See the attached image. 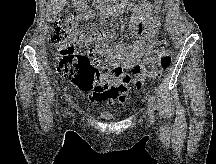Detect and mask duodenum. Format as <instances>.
<instances>
[{"mask_svg":"<svg viewBox=\"0 0 216 164\" xmlns=\"http://www.w3.org/2000/svg\"><path fill=\"white\" fill-rule=\"evenodd\" d=\"M123 1H124V3H129L130 2V0H123ZM125 5H128V4H125ZM102 10H103V12H109L108 7H106L105 5L102 6Z\"/></svg>","mask_w":216,"mask_h":164,"instance_id":"duodenum-1","label":"duodenum"}]
</instances>
